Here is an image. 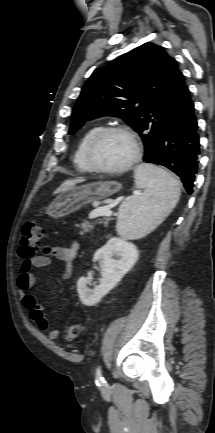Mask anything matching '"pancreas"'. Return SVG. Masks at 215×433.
Listing matches in <instances>:
<instances>
[{
	"instance_id": "cf45deb5",
	"label": "pancreas",
	"mask_w": 215,
	"mask_h": 433,
	"mask_svg": "<svg viewBox=\"0 0 215 433\" xmlns=\"http://www.w3.org/2000/svg\"><path fill=\"white\" fill-rule=\"evenodd\" d=\"M99 223H103V222L100 221ZM78 227L81 229L80 233H82V234L83 233H87V232H90L93 229L94 222L85 221V222L81 223Z\"/></svg>"
}]
</instances>
